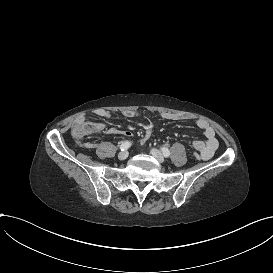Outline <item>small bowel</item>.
I'll return each mask as SVG.
<instances>
[{"label":"small bowel","instance_id":"small-bowel-1","mask_svg":"<svg viewBox=\"0 0 273 273\" xmlns=\"http://www.w3.org/2000/svg\"><path fill=\"white\" fill-rule=\"evenodd\" d=\"M94 115L98 118L101 119H111L113 117V113L110 110L106 109H96L94 111ZM139 113L137 111L133 110H126L123 112V116L126 119H133L137 117ZM159 117L168 120V121H190L192 120V116L187 114V113H181V112H161L159 113ZM195 123L197 127L202 130L203 135H204V141L207 143V150L204 153H199L200 157L204 160H209L211 159L217 148H218V140L216 138V133L214 128L204 119L202 118H197L195 120ZM93 131L97 135H111V134H120L124 135L126 137H129L132 135L130 130H119L115 128H108L104 123L102 122H97L93 126ZM143 136V135H142ZM79 144H81L84 147H93V144H84L78 141ZM141 143H143L141 139Z\"/></svg>","mask_w":273,"mask_h":273}]
</instances>
